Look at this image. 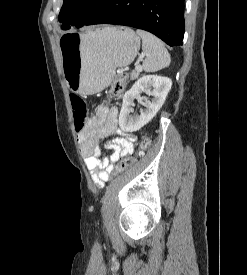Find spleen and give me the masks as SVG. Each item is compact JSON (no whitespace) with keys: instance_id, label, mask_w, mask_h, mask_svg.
<instances>
[{"instance_id":"3e777b00","label":"spleen","mask_w":247,"mask_h":275,"mask_svg":"<svg viewBox=\"0 0 247 275\" xmlns=\"http://www.w3.org/2000/svg\"><path fill=\"white\" fill-rule=\"evenodd\" d=\"M136 32L142 39V50L146 54V59L142 64L144 71L155 72L168 67L171 58L164 43L147 31L138 29Z\"/></svg>"}]
</instances>
